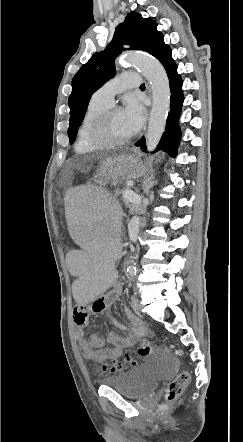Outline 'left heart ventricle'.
<instances>
[{"instance_id": "obj_1", "label": "left heart ventricle", "mask_w": 243, "mask_h": 442, "mask_svg": "<svg viewBox=\"0 0 243 442\" xmlns=\"http://www.w3.org/2000/svg\"><path fill=\"white\" fill-rule=\"evenodd\" d=\"M122 110L115 111L109 119L104 132V137L108 140H121L132 135Z\"/></svg>"}]
</instances>
